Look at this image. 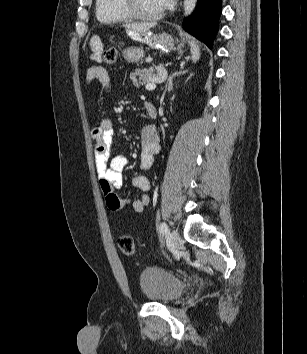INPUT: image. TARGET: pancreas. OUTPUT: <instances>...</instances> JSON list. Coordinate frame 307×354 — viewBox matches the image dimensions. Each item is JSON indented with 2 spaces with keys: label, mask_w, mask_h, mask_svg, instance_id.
Listing matches in <instances>:
<instances>
[{
  "label": "pancreas",
  "mask_w": 307,
  "mask_h": 354,
  "mask_svg": "<svg viewBox=\"0 0 307 354\" xmlns=\"http://www.w3.org/2000/svg\"><path fill=\"white\" fill-rule=\"evenodd\" d=\"M157 68L155 66L145 69H136L133 73L130 74V79L133 82V85L140 87L151 82L152 79L158 77L156 74Z\"/></svg>",
  "instance_id": "cf45deb5"
}]
</instances>
